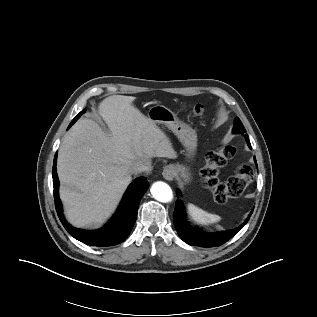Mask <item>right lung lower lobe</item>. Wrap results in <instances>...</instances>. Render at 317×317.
Masks as SVG:
<instances>
[{"label":"right lung lower lobe","instance_id":"1","mask_svg":"<svg viewBox=\"0 0 317 317\" xmlns=\"http://www.w3.org/2000/svg\"><path fill=\"white\" fill-rule=\"evenodd\" d=\"M75 121L72 120L71 123L73 124ZM56 161L57 153L52 169L54 200L57 214L68 233L77 240L95 247L113 246L124 241L134 226L140 200L148 188L149 184L146 178L139 177L130 184L116 213L103 228L95 231H86L71 226L63 215L62 204L58 194L59 180L56 171Z\"/></svg>","mask_w":317,"mask_h":317}]
</instances>
